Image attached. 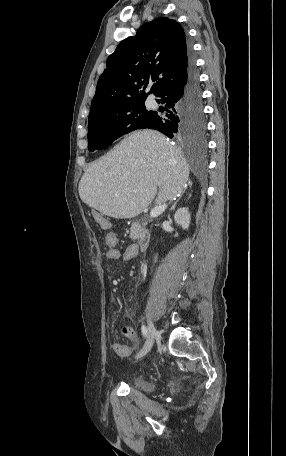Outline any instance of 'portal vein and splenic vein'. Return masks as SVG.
Wrapping results in <instances>:
<instances>
[{"mask_svg":"<svg viewBox=\"0 0 286 456\" xmlns=\"http://www.w3.org/2000/svg\"><path fill=\"white\" fill-rule=\"evenodd\" d=\"M165 209V205H158L155 206L151 211H150V216L155 217L159 215L163 210Z\"/></svg>","mask_w":286,"mask_h":456,"instance_id":"1","label":"portal vein and splenic vein"}]
</instances>
